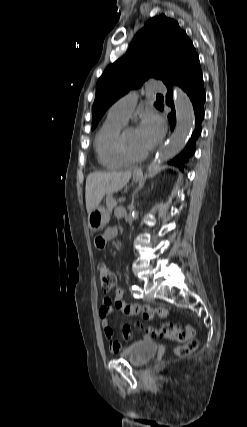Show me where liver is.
Returning a JSON list of instances; mask_svg holds the SVG:
<instances>
[{
    "mask_svg": "<svg viewBox=\"0 0 247 427\" xmlns=\"http://www.w3.org/2000/svg\"><path fill=\"white\" fill-rule=\"evenodd\" d=\"M131 172H92L87 176L85 187L88 214L95 210L105 194L121 190L130 180Z\"/></svg>",
    "mask_w": 247,
    "mask_h": 427,
    "instance_id": "6515ba94",
    "label": "liver"
}]
</instances>
